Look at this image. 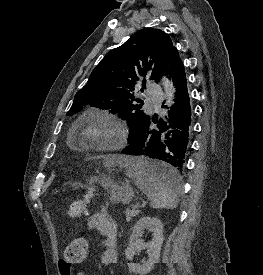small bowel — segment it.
<instances>
[{"instance_id": "1", "label": "small bowel", "mask_w": 263, "mask_h": 275, "mask_svg": "<svg viewBox=\"0 0 263 275\" xmlns=\"http://www.w3.org/2000/svg\"><path fill=\"white\" fill-rule=\"evenodd\" d=\"M86 227L94 229L102 236V253L100 263L109 267L117 261V234L118 226L114 218L106 209L91 214L86 220ZM61 275H71L70 271H63L59 265Z\"/></svg>"}]
</instances>
